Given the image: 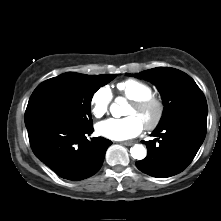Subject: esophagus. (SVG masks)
<instances>
[{"label":"esophagus","instance_id":"obj_1","mask_svg":"<svg viewBox=\"0 0 221 221\" xmlns=\"http://www.w3.org/2000/svg\"><path fill=\"white\" fill-rule=\"evenodd\" d=\"M122 145H125V146H132L134 144L133 141H124V142H121Z\"/></svg>","mask_w":221,"mask_h":221}]
</instances>
